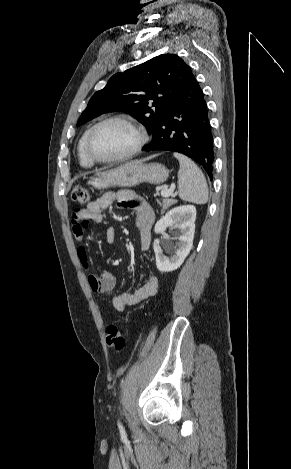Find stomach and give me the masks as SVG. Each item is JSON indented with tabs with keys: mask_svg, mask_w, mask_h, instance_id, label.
I'll return each instance as SVG.
<instances>
[{
	"mask_svg": "<svg viewBox=\"0 0 291 469\" xmlns=\"http://www.w3.org/2000/svg\"><path fill=\"white\" fill-rule=\"evenodd\" d=\"M168 176L169 171L162 164L134 161L111 170L98 172L89 178L88 184L96 189L113 186L133 187L143 182L161 184L167 180Z\"/></svg>",
	"mask_w": 291,
	"mask_h": 469,
	"instance_id": "stomach-1",
	"label": "stomach"
}]
</instances>
